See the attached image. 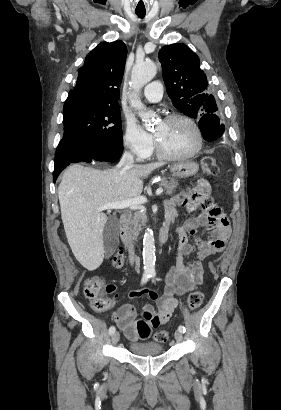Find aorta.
<instances>
[{"mask_svg":"<svg viewBox=\"0 0 281 410\" xmlns=\"http://www.w3.org/2000/svg\"><path fill=\"white\" fill-rule=\"evenodd\" d=\"M157 73V67L153 62L137 63L131 72V86L134 91L130 100L131 106L137 111L144 123H149L151 115L145 111V106L138 97L141 88L150 82ZM155 241L152 229L147 228L143 237V264L144 273L155 272Z\"/></svg>","mask_w":281,"mask_h":410,"instance_id":"aorta-1","label":"aorta"}]
</instances>
